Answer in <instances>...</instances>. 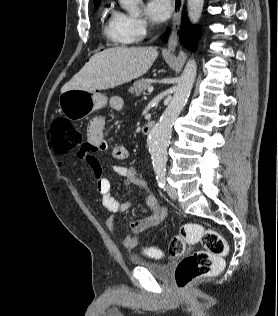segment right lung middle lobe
Returning a JSON list of instances; mask_svg holds the SVG:
<instances>
[{
  "label": "right lung middle lobe",
  "mask_w": 278,
  "mask_h": 316,
  "mask_svg": "<svg viewBox=\"0 0 278 316\" xmlns=\"http://www.w3.org/2000/svg\"><path fill=\"white\" fill-rule=\"evenodd\" d=\"M99 4H100V1H99V2L94 3V5H95V8H96V9L99 7Z\"/></svg>",
  "instance_id": "right-lung-middle-lobe-1"
}]
</instances>
